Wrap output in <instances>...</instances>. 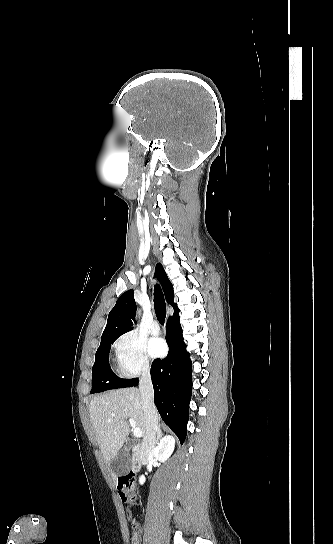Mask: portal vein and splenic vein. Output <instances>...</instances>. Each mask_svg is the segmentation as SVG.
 <instances>
[{"label": "portal vein and splenic vein", "mask_w": 333, "mask_h": 544, "mask_svg": "<svg viewBox=\"0 0 333 544\" xmlns=\"http://www.w3.org/2000/svg\"><path fill=\"white\" fill-rule=\"evenodd\" d=\"M129 424L132 427L134 437H136V438L142 437V430L140 428H137L134 419L130 418L129 419Z\"/></svg>", "instance_id": "18ae733b"}]
</instances>
